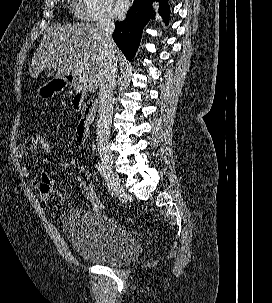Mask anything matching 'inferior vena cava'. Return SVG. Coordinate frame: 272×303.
Instances as JSON below:
<instances>
[{"label": "inferior vena cava", "mask_w": 272, "mask_h": 303, "mask_svg": "<svg viewBox=\"0 0 272 303\" xmlns=\"http://www.w3.org/2000/svg\"><path fill=\"white\" fill-rule=\"evenodd\" d=\"M98 27L103 37V59L99 73V119L97 122V147L102 160H110L109 138L112 124L113 92L117 78L115 44L112 34L114 22L109 14L99 18Z\"/></svg>", "instance_id": "1"}]
</instances>
